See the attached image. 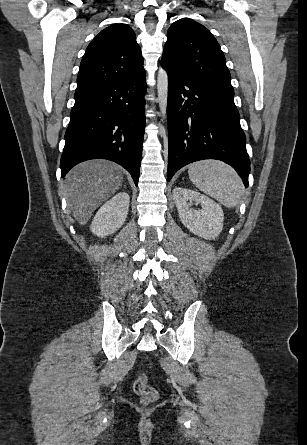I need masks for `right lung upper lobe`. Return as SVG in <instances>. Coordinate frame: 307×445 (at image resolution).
I'll list each match as a JSON object with an SVG mask.
<instances>
[{"label":"right lung upper lobe","instance_id":"right-lung-upper-lobe-1","mask_svg":"<svg viewBox=\"0 0 307 445\" xmlns=\"http://www.w3.org/2000/svg\"><path fill=\"white\" fill-rule=\"evenodd\" d=\"M143 70L134 31L126 24H114L102 30L87 47L76 91L115 83Z\"/></svg>","mask_w":307,"mask_h":445}]
</instances>
